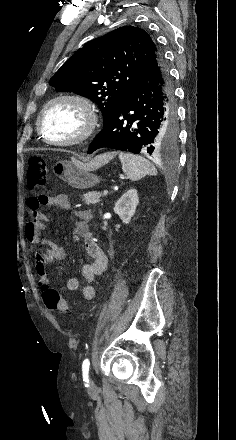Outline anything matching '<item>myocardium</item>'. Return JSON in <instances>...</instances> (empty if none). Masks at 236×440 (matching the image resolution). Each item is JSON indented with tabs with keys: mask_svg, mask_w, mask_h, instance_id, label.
<instances>
[{
	"mask_svg": "<svg viewBox=\"0 0 236 440\" xmlns=\"http://www.w3.org/2000/svg\"><path fill=\"white\" fill-rule=\"evenodd\" d=\"M68 103L76 107L83 117V128L74 138L67 140H53L45 135L43 119L46 112L55 104ZM99 123V114L95 104L87 97L75 93H62L48 100L39 112L37 125L42 139L52 145L71 147L89 140L95 133Z\"/></svg>",
	"mask_w": 236,
	"mask_h": 440,
	"instance_id": "myocardium-1",
	"label": "myocardium"
}]
</instances>
